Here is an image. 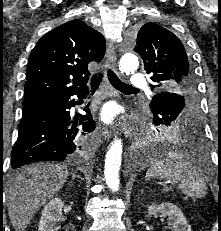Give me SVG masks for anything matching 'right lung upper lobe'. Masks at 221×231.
<instances>
[{
	"instance_id": "1",
	"label": "right lung upper lobe",
	"mask_w": 221,
	"mask_h": 231,
	"mask_svg": "<svg viewBox=\"0 0 221 231\" xmlns=\"http://www.w3.org/2000/svg\"><path fill=\"white\" fill-rule=\"evenodd\" d=\"M106 42L79 19L66 22L36 44L28 59L24 102L45 96L85 91L88 63L100 62Z\"/></svg>"
}]
</instances>
